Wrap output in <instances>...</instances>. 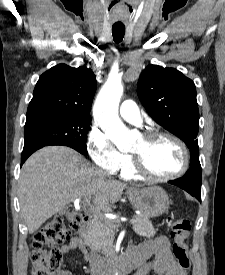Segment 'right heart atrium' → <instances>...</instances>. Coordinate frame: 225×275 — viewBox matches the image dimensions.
I'll use <instances>...</instances> for the list:
<instances>
[{
  "label": "right heart atrium",
  "instance_id": "1",
  "mask_svg": "<svg viewBox=\"0 0 225 275\" xmlns=\"http://www.w3.org/2000/svg\"><path fill=\"white\" fill-rule=\"evenodd\" d=\"M87 148L96 167L108 172L121 170L129 161V156L118 150L110 137L97 126L90 130Z\"/></svg>",
  "mask_w": 225,
  "mask_h": 275
}]
</instances>
